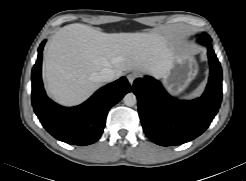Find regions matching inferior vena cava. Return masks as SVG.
<instances>
[{
  "label": "inferior vena cava",
  "instance_id": "1",
  "mask_svg": "<svg viewBox=\"0 0 246 181\" xmlns=\"http://www.w3.org/2000/svg\"><path fill=\"white\" fill-rule=\"evenodd\" d=\"M96 79L99 82H111L115 79V73L111 68H103L96 74Z\"/></svg>",
  "mask_w": 246,
  "mask_h": 181
}]
</instances>
